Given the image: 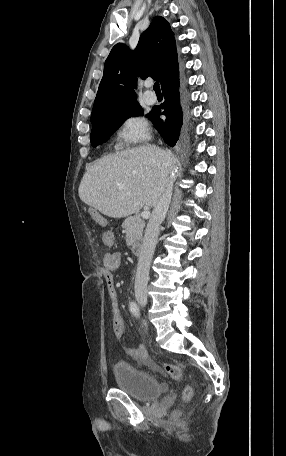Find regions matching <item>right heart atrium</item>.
Listing matches in <instances>:
<instances>
[{
    "instance_id": "right-heart-atrium-1",
    "label": "right heart atrium",
    "mask_w": 286,
    "mask_h": 456,
    "mask_svg": "<svg viewBox=\"0 0 286 456\" xmlns=\"http://www.w3.org/2000/svg\"><path fill=\"white\" fill-rule=\"evenodd\" d=\"M117 143L121 147L133 146L149 138V128L146 120L137 113L124 116L117 127Z\"/></svg>"
}]
</instances>
